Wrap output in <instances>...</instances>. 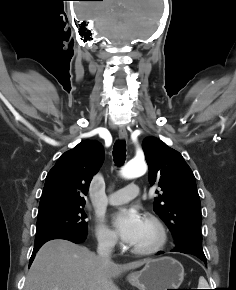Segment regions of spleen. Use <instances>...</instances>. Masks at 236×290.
<instances>
[{"mask_svg":"<svg viewBox=\"0 0 236 290\" xmlns=\"http://www.w3.org/2000/svg\"><path fill=\"white\" fill-rule=\"evenodd\" d=\"M207 286H208V284H207V281L205 280V278L200 277L199 284H198V287H200L199 289H206Z\"/></svg>","mask_w":236,"mask_h":290,"instance_id":"3e777b00","label":"spleen"}]
</instances>
